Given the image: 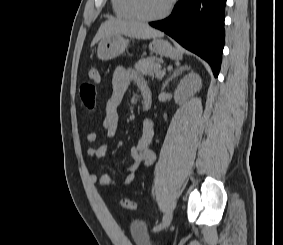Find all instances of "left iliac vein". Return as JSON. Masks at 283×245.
Wrapping results in <instances>:
<instances>
[{
	"label": "left iliac vein",
	"mask_w": 283,
	"mask_h": 245,
	"mask_svg": "<svg viewBox=\"0 0 283 245\" xmlns=\"http://www.w3.org/2000/svg\"><path fill=\"white\" fill-rule=\"evenodd\" d=\"M172 216H173L172 211L169 210V211L167 212L166 216H165L164 223H163V226H162V228L160 229V231L164 230V229L169 225V223H170V221H171V219H172Z\"/></svg>",
	"instance_id": "left-iliac-vein-1"
}]
</instances>
